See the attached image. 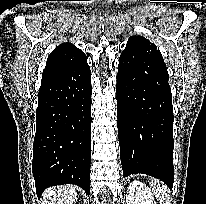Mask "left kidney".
Here are the masks:
<instances>
[{"mask_svg": "<svg viewBox=\"0 0 206 204\" xmlns=\"http://www.w3.org/2000/svg\"><path fill=\"white\" fill-rule=\"evenodd\" d=\"M127 204H156L151 191L140 181H132L127 189Z\"/></svg>", "mask_w": 206, "mask_h": 204, "instance_id": "obj_1", "label": "left kidney"}]
</instances>
